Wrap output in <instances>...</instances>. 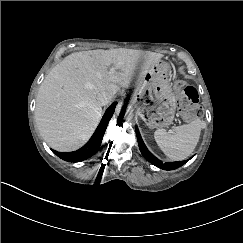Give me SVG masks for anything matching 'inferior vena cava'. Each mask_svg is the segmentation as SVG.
Wrapping results in <instances>:
<instances>
[{
	"instance_id": "obj_1",
	"label": "inferior vena cava",
	"mask_w": 243,
	"mask_h": 243,
	"mask_svg": "<svg viewBox=\"0 0 243 243\" xmlns=\"http://www.w3.org/2000/svg\"><path fill=\"white\" fill-rule=\"evenodd\" d=\"M112 98V94L108 93L107 91H102L97 95V101L101 106L107 105Z\"/></svg>"
}]
</instances>
